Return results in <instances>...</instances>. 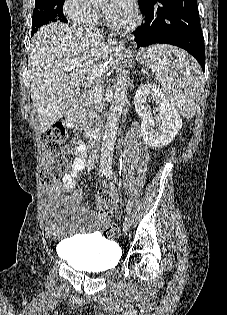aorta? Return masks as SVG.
Masks as SVG:
<instances>
[{"mask_svg": "<svg viewBox=\"0 0 227 315\" xmlns=\"http://www.w3.org/2000/svg\"><path fill=\"white\" fill-rule=\"evenodd\" d=\"M94 2L100 0H92ZM114 99L112 101L107 123L105 125L104 142L101 148V160L105 162H112L114 144L118 130L120 116L122 114L123 106L126 98L127 79L120 78L114 86Z\"/></svg>", "mask_w": 227, "mask_h": 315, "instance_id": "aorta-1", "label": "aorta"}]
</instances>
